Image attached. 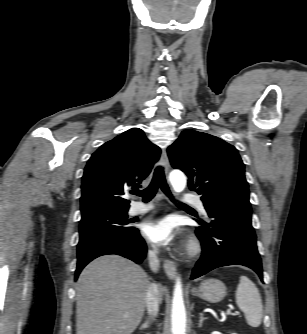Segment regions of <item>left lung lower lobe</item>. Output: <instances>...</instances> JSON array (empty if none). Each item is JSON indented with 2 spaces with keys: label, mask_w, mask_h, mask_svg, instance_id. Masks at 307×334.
<instances>
[{
  "label": "left lung lower lobe",
  "mask_w": 307,
  "mask_h": 334,
  "mask_svg": "<svg viewBox=\"0 0 307 334\" xmlns=\"http://www.w3.org/2000/svg\"><path fill=\"white\" fill-rule=\"evenodd\" d=\"M208 215L209 223L199 222L202 226L196 229L203 251L191 279L217 267L243 265L253 269L263 280L261 258L251 217L229 211Z\"/></svg>",
  "instance_id": "1"
}]
</instances>
